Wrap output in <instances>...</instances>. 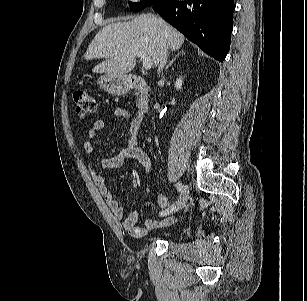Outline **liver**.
<instances>
[{
  "instance_id": "6515ba94",
  "label": "liver",
  "mask_w": 307,
  "mask_h": 301,
  "mask_svg": "<svg viewBox=\"0 0 307 301\" xmlns=\"http://www.w3.org/2000/svg\"><path fill=\"white\" fill-rule=\"evenodd\" d=\"M184 36L154 14H141L127 22L110 23L101 29L90 43L84 58H105L93 68L94 73L125 75L136 65V52L149 56L155 67L166 45L179 49Z\"/></svg>"
}]
</instances>
